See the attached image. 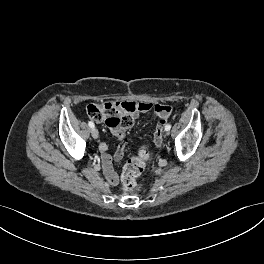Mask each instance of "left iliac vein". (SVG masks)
<instances>
[{
  "mask_svg": "<svg viewBox=\"0 0 264 264\" xmlns=\"http://www.w3.org/2000/svg\"><path fill=\"white\" fill-rule=\"evenodd\" d=\"M167 138L170 136L169 135V131H166V135H165Z\"/></svg>",
  "mask_w": 264,
  "mask_h": 264,
  "instance_id": "left-iliac-vein-1",
  "label": "left iliac vein"
}]
</instances>
